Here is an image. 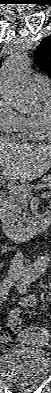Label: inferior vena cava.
<instances>
[{"mask_svg": "<svg viewBox=\"0 0 51 393\" xmlns=\"http://www.w3.org/2000/svg\"><path fill=\"white\" fill-rule=\"evenodd\" d=\"M24 256L21 252H17L14 258L11 260L9 267L10 274H19L23 269Z\"/></svg>", "mask_w": 51, "mask_h": 393, "instance_id": "1", "label": "inferior vena cava"}]
</instances>
